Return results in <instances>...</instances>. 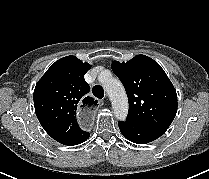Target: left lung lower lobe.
<instances>
[{"mask_svg": "<svg viewBox=\"0 0 209 179\" xmlns=\"http://www.w3.org/2000/svg\"><path fill=\"white\" fill-rule=\"evenodd\" d=\"M118 125L124 137L136 144L149 143L165 133L163 130L141 124L129 118L124 122H119Z\"/></svg>", "mask_w": 209, "mask_h": 179, "instance_id": "left-lung-lower-lobe-1", "label": "left lung lower lobe"}]
</instances>
